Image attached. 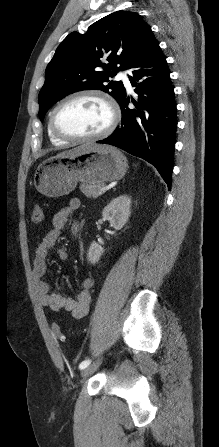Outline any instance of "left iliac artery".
<instances>
[{
	"label": "left iliac artery",
	"mask_w": 219,
	"mask_h": 447,
	"mask_svg": "<svg viewBox=\"0 0 219 447\" xmlns=\"http://www.w3.org/2000/svg\"><path fill=\"white\" fill-rule=\"evenodd\" d=\"M90 362H91L90 360H84L83 362L80 363L79 369L86 368L90 364Z\"/></svg>",
	"instance_id": "1"
}]
</instances>
